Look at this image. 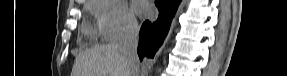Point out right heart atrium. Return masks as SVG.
<instances>
[{"instance_id":"d8ad5b80","label":"right heart atrium","mask_w":287,"mask_h":76,"mask_svg":"<svg viewBox=\"0 0 287 76\" xmlns=\"http://www.w3.org/2000/svg\"><path fill=\"white\" fill-rule=\"evenodd\" d=\"M91 11L98 20L102 37L107 41H118L138 31L134 13L120 0H95Z\"/></svg>"}]
</instances>
